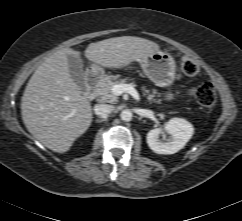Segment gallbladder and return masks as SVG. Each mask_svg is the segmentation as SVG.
<instances>
[{
	"mask_svg": "<svg viewBox=\"0 0 242 221\" xmlns=\"http://www.w3.org/2000/svg\"><path fill=\"white\" fill-rule=\"evenodd\" d=\"M83 63L79 56L68 55V67L71 78L77 84L81 92L86 90V83L84 80V72L82 69Z\"/></svg>",
	"mask_w": 242,
	"mask_h": 221,
	"instance_id": "1",
	"label": "gallbladder"
}]
</instances>
